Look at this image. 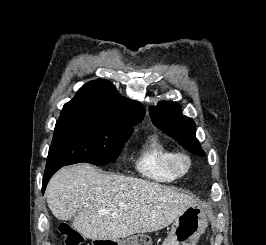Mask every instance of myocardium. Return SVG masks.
<instances>
[{
	"label": "myocardium",
	"instance_id": "obj_1",
	"mask_svg": "<svg viewBox=\"0 0 266 245\" xmlns=\"http://www.w3.org/2000/svg\"><path fill=\"white\" fill-rule=\"evenodd\" d=\"M180 161H185L187 164L184 171H181L179 168ZM171 168L179 178L187 176L193 168V158L191 154L185 150H174L171 155Z\"/></svg>",
	"mask_w": 266,
	"mask_h": 245
}]
</instances>
